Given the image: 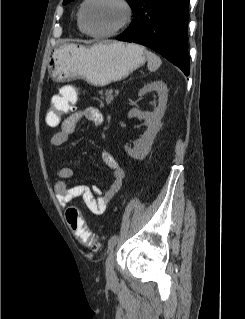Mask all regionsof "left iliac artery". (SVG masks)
Returning <instances> with one entry per match:
<instances>
[{
	"mask_svg": "<svg viewBox=\"0 0 245 319\" xmlns=\"http://www.w3.org/2000/svg\"><path fill=\"white\" fill-rule=\"evenodd\" d=\"M117 241H118V236L113 235L108 241V249L109 250L113 249L114 246L116 245Z\"/></svg>",
	"mask_w": 245,
	"mask_h": 319,
	"instance_id": "1",
	"label": "left iliac artery"
}]
</instances>
